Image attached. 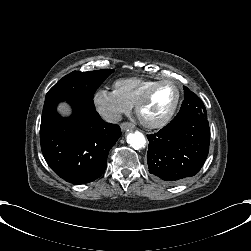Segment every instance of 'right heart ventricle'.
Masks as SVG:
<instances>
[{
  "instance_id": "right-heart-ventricle-1",
  "label": "right heart ventricle",
  "mask_w": 251,
  "mask_h": 251,
  "mask_svg": "<svg viewBox=\"0 0 251 251\" xmlns=\"http://www.w3.org/2000/svg\"><path fill=\"white\" fill-rule=\"evenodd\" d=\"M156 80V78L150 76L124 77L116 79L113 88L123 101L135 106L147 87Z\"/></svg>"
}]
</instances>
